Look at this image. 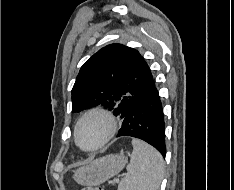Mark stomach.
Segmentation results:
<instances>
[{"label": "stomach", "instance_id": "1", "mask_svg": "<svg viewBox=\"0 0 234 190\" xmlns=\"http://www.w3.org/2000/svg\"><path fill=\"white\" fill-rule=\"evenodd\" d=\"M127 163L123 153L110 154L94 160L74 172V180L80 185L97 186L117 175Z\"/></svg>", "mask_w": 234, "mask_h": 190}]
</instances>
